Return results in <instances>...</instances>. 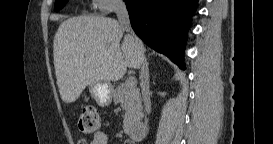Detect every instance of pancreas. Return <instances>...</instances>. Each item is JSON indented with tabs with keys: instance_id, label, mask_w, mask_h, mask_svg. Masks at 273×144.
Returning <instances> with one entry per match:
<instances>
[{
	"instance_id": "pancreas-1",
	"label": "pancreas",
	"mask_w": 273,
	"mask_h": 144,
	"mask_svg": "<svg viewBox=\"0 0 273 144\" xmlns=\"http://www.w3.org/2000/svg\"><path fill=\"white\" fill-rule=\"evenodd\" d=\"M114 103H121V107L126 111L124 115V128L132 127L142 118V104L139 89L129 87L127 82L122 83L113 90Z\"/></svg>"
}]
</instances>
